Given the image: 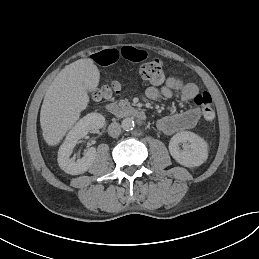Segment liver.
<instances>
[{"mask_svg": "<svg viewBox=\"0 0 259 259\" xmlns=\"http://www.w3.org/2000/svg\"><path fill=\"white\" fill-rule=\"evenodd\" d=\"M100 79L92 59H79L67 65L48 87L40 111L43 138L48 145L58 144L86 109L89 96Z\"/></svg>", "mask_w": 259, "mask_h": 259, "instance_id": "6515ba94", "label": "liver"}]
</instances>
